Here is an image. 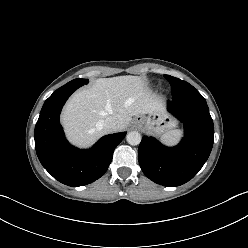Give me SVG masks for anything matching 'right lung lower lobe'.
Masks as SVG:
<instances>
[{"label": "right lung lower lobe", "instance_id": "obj_1", "mask_svg": "<svg viewBox=\"0 0 248 248\" xmlns=\"http://www.w3.org/2000/svg\"><path fill=\"white\" fill-rule=\"evenodd\" d=\"M80 84L64 85L44 103L35 126L37 156L43 167L61 183L77 187L100 178L111 163L113 151L126 132L102 137L91 149L80 150L68 143L59 122L63 105Z\"/></svg>", "mask_w": 248, "mask_h": 248}]
</instances>
